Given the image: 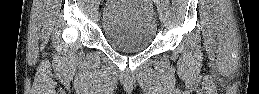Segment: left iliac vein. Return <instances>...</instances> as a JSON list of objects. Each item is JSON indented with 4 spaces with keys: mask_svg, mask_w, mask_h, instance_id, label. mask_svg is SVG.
<instances>
[{
    "mask_svg": "<svg viewBox=\"0 0 259 94\" xmlns=\"http://www.w3.org/2000/svg\"><path fill=\"white\" fill-rule=\"evenodd\" d=\"M158 14L161 21L164 20V10L161 5H158Z\"/></svg>",
    "mask_w": 259,
    "mask_h": 94,
    "instance_id": "4c4485c4",
    "label": "left iliac vein"
}]
</instances>
